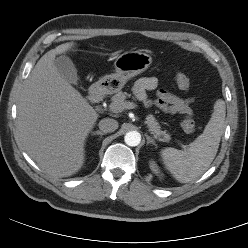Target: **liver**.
<instances>
[{"mask_svg": "<svg viewBox=\"0 0 248 248\" xmlns=\"http://www.w3.org/2000/svg\"><path fill=\"white\" fill-rule=\"evenodd\" d=\"M67 42L45 53L31 71L17 106L18 137L37 165L53 177H69L85 161V140L98 114L57 71L56 55Z\"/></svg>", "mask_w": 248, "mask_h": 248, "instance_id": "liver-1", "label": "liver"}]
</instances>
